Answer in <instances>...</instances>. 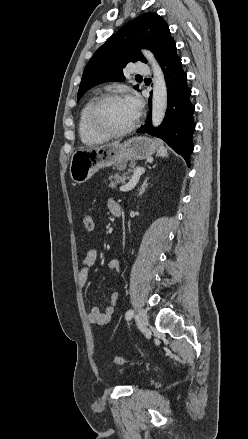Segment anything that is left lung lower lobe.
<instances>
[{
    "instance_id": "0a47b994",
    "label": "left lung lower lobe",
    "mask_w": 248,
    "mask_h": 439,
    "mask_svg": "<svg viewBox=\"0 0 248 439\" xmlns=\"http://www.w3.org/2000/svg\"><path fill=\"white\" fill-rule=\"evenodd\" d=\"M167 84L168 102L166 115L161 126L155 128L151 122L150 112L146 124L137 130L164 140L175 152L180 154L190 166V154L193 152L192 134L195 130L193 121L194 105L190 101L191 89L187 85V75L182 69L181 58L176 53L173 42L158 60Z\"/></svg>"
}]
</instances>
